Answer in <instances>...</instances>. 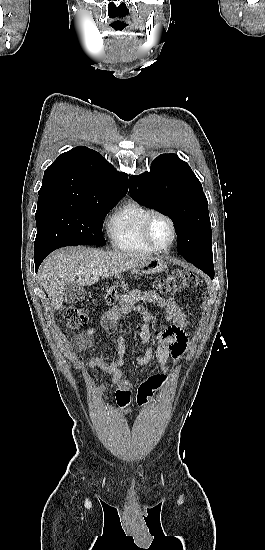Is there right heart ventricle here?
Listing matches in <instances>:
<instances>
[{"label":"right heart ventricle","instance_id":"right-heart-ventricle-1","mask_svg":"<svg viewBox=\"0 0 265 550\" xmlns=\"http://www.w3.org/2000/svg\"><path fill=\"white\" fill-rule=\"evenodd\" d=\"M151 211L137 201H129L117 209L107 221L112 245L125 252H153L142 234L143 221Z\"/></svg>","mask_w":265,"mask_h":550}]
</instances>
